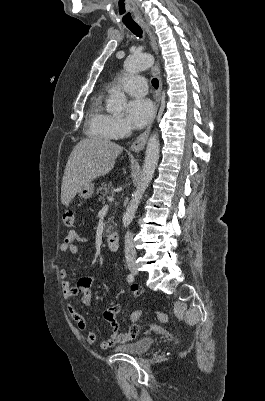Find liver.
Segmentation results:
<instances>
[{
	"label": "liver",
	"mask_w": 265,
	"mask_h": 401,
	"mask_svg": "<svg viewBox=\"0 0 265 401\" xmlns=\"http://www.w3.org/2000/svg\"><path fill=\"white\" fill-rule=\"evenodd\" d=\"M122 146L104 138H83L74 146L66 164L61 203L69 205L83 184L112 170Z\"/></svg>",
	"instance_id": "6515ba94"
}]
</instances>
